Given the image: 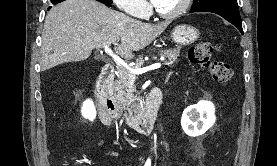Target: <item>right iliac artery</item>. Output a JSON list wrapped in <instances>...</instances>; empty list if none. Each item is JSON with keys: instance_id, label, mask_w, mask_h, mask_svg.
<instances>
[{"instance_id": "obj_1", "label": "right iliac artery", "mask_w": 277, "mask_h": 166, "mask_svg": "<svg viewBox=\"0 0 277 166\" xmlns=\"http://www.w3.org/2000/svg\"><path fill=\"white\" fill-rule=\"evenodd\" d=\"M144 166H151V160H150V158H148V160L146 161Z\"/></svg>"}]
</instances>
